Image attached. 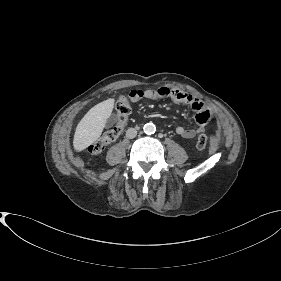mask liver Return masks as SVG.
I'll use <instances>...</instances> for the list:
<instances>
[{
	"instance_id": "1",
	"label": "liver",
	"mask_w": 281,
	"mask_h": 281,
	"mask_svg": "<svg viewBox=\"0 0 281 281\" xmlns=\"http://www.w3.org/2000/svg\"><path fill=\"white\" fill-rule=\"evenodd\" d=\"M114 102L113 98H109L98 103L81 119L73 138V148L76 152L83 151L100 137L107 119L112 114Z\"/></svg>"
}]
</instances>
